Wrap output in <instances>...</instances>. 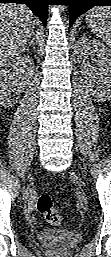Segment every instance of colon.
<instances>
[{
    "mask_svg": "<svg viewBox=\"0 0 111 257\" xmlns=\"http://www.w3.org/2000/svg\"><path fill=\"white\" fill-rule=\"evenodd\" d=\"M36 208L52 225H62L63 220L55 209L52 196L47 191H40L36 197Z\"/></svg>",
    "mask_w": 111,
    "mask_h": 257,
    "instance_id": "1",
    "label": "colon"
}]
</instances>
